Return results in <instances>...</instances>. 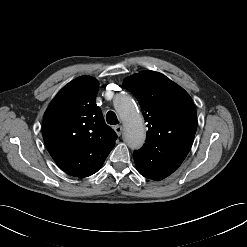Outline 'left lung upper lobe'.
<instances>
[{"label": "left lung upper lobe", "instance_id": "left-lung-upper-lobe-1", "mask_svg": "<svg viewBox=\"0 0 247 247\" xmlns=\"http://www.w3.org/2000/svg\"><path fill=\"white\" fill-rule=\"evenodd\" d=\"M124 86L138 99L148 123L146 142L134 152V157L183 162L197 128V112L190 95L154 71L130 76L124 80Z\"/></svg>", "mask_w": 247, "mask_h": 247}]
</instances>
